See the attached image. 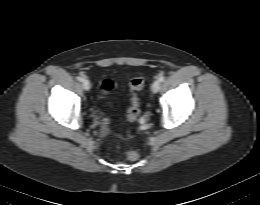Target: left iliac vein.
I'll return each mask as SVG.
<instances>
[{"label": "left iliac vein", "mask_w": 260, "mask_h": 205, "mask_svg": "<svg viewBox=\"0 0 260 205\" xmlns=\"http://www.w3.org/2000/svg\"><path fill=\"white\" fill-rule=\"evenodd\" d=\"M160 86H161V84H160V81H158V80H155L154 82H153V84H152V91L154 92V93H157L159 90H160Z\"/></svg>", "instance_id": "obj_1"}]
</instances>
